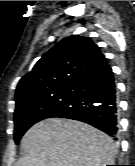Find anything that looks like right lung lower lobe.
Returning <instances> with one entry per match:
<instances>
[{
    "label": "right lung lower lobe",
    "instance_id": "98d812e1",
    "mask_svg": "<svg viewBox=\"0 0 135 166\" xmlns=\"http://www.w3.org/2000/svg\"><path fill=\"white\" fill-rule=\"evenodd\" d=\"M51 117L88 123L114 139L118 133V103L114 74L106 62L74 85L71 103Z\"/></svg>",
    "mask_w": 135,
    "mask_h": 166
}]
</instances>
